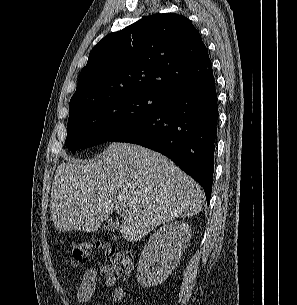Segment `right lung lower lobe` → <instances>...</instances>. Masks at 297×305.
<instances>
[{
  "mask_svg": "<svg viewBox=\"0 0 297 305\" xmlns=\"http://www.w3.org/2000/svg\"><path fill=\"white\" fill-rule=\"evenodd\" d=\"M217 94L214 76L164 93L147 117L113 136L160 152L204 189L209 205L217 132Z\"/></svg>",
  "mask_w": 297,
  "mask_h": 305,
  "instance_id": "obj_1",
  "label": "right lung lower lobe"
}]
</instances>
